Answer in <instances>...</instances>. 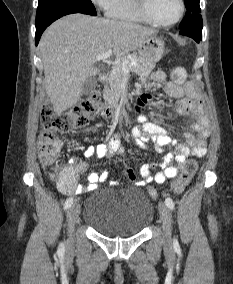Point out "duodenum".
<instances>
[{
    "instance_id": "1",
    "label": "duodenum",
    "mask_w": 233,
    "mask_h": 284,
    "mask_svg": "<svg viewBox=\"0 0 233 284\" xmlns=\"http://www.w3.org/2000/svg\"><path fill=\"white\" fill-rule=\"evenodd\" d=\"M99 81L102 83V84H106L107 81H108V74L107 73H102L99 75ZM114 114V111L112 108L110 107H104L102 109V115L103 117L105 118H111Z\"/></svg>"
}]
</instances>
